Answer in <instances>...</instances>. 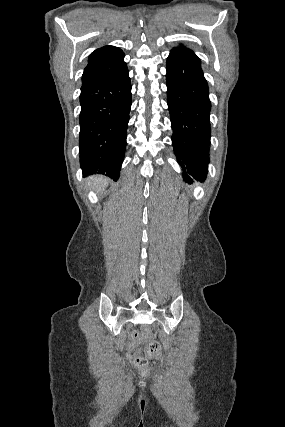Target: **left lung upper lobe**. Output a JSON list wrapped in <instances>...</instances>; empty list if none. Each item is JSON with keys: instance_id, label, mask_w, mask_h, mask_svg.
<instances>
[{"instance_id": "1", "label": "left lung upper lobe", "mask_w": 285, "mask_h": 427, "mask_svg": "<svg viewBox=\"0 0 285 427\" xmlns=\"http://www.w3.org/2000/svg\"><path fill=\"white\" fill-rule=\"evenodd\" d=\"M172 51H189V52L193 53V51H191L190 49H188L186 47H176Z\"/></svg>"}]
</instances>
